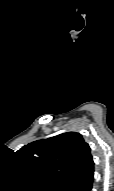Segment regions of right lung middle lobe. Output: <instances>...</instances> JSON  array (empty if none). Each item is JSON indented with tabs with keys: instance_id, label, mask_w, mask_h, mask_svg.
Returning a JSON list of instances; mask_svg holds the SVG:
<instances>
[{
	"instance_id": "dd1d6c3e",
	"label": "right lung middle lobe",
	"mask_w": 114,
	"mask_h": 191,
	"mask_svg": "<svg viewBox=\"0 0 114 191\" xmlns=\"http://www.w3.org/2000/svg\"><path fill=\"white\" fill-rule=\"evenodd\" d=\"M44 190H47V191H57L58 188H44Z\"/></svg>"
}]
</instances>
